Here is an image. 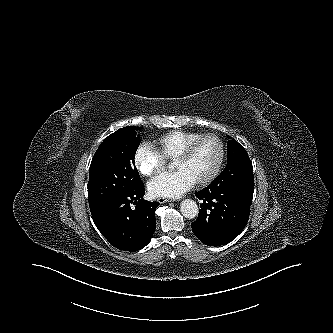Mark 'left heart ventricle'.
<instances>
[{
	"mask_svg": "<svg viewBox=\"0 0 333 333\" xmlns=\"http://www.w3.org/2000/svg\"><path fill=\"white\" fill-rule=\"evenodd\" d=\"M219 156L218 143L212 138H205L194 148L184 161L174 162L176 170L188 173L195 182L206 178L214 169Z\"/></svg>",
	"mask_w": 333,
	"mask_h": 333,
	"instance_id": "1",
	"label": "left heart ventricle"
}]
</instances>
